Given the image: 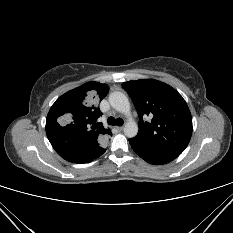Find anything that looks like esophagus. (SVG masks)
<instances>
[{
	"instance_id": "esophagus-1",
	"label": "esophagus",
	"mask_w": 233,
	"mask_h": 233,
	"mask_svg": "<svg viewBox=\"0 0 233 233\" xmlns=\"http://www.w3.org/2000/svg\"><path fill=\"white\" fill-rule=\"evenodd\" d=\"M115 129L117 130V131H122L123 130V127L122 126H117V127H115Z\"/></svg>"
}]
</instances>
